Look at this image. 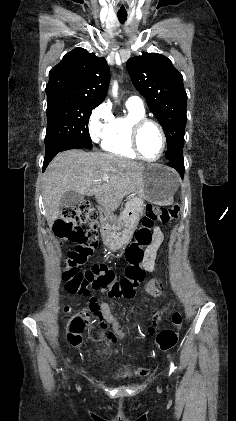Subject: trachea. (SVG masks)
I'll list each match as a JSON object with an SVG mask.
<instances>
[{"mask_svg":"<svg viewBox=\"0 0 236 421\" xmlns=\"http://www.w3.org/2000/svg\"><path fill=\"white\" fill-rule=\"evenodd\" d=\"M118 19H119V22H120L121 24H123V23L126 21V19H127V15H125V16H123V15H118Z\"/></svg>","mask_w":236,"mask_h":421,"instance_id":"1","label":"trachea"}]
</instances>
